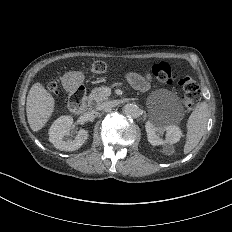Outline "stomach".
I'll list each match as a JSON object with an SVG mask.
<instances>
[{
    "mask_svg": "<svg viewBox=\"0 0 232 232\" xmlns=\"http://www.w3.org/2000/svg\"><path fill=\"white\" fill-rule=\"evenodd\" d=\"M77 76L80 78L79 82H82L83 81V75H81V74L78 73Z\"/></svg>",
    "mask_w": 232,
    "mask_h": 232,
    "instance_id": "obj_1",
    "label": "stomach"
}]
</instances>
